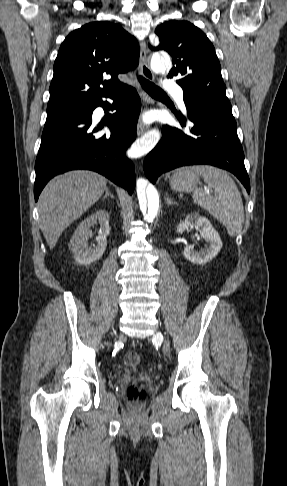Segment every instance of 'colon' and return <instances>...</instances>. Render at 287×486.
Instances as JSON below:
<instances>
[{"instance_id":"colon-1","label":"colon","mask_w":287,"mask_h":486,"mask_svg":"<svg viewBox=\"0 0 287 486\" xmlns=\"http://www.w3.org/2000/svg\"><path fill=\"white\" fill-rule=\"evenodd\" d=\"M140 360V355L135 351H128L123 356L124 364L131 368L137 367ZM127 397L131 402H140L145 397V391L137 385H131L127 390Z\"/></svg>"}]
</instances>
